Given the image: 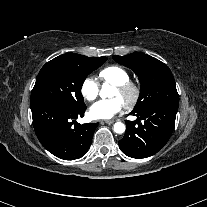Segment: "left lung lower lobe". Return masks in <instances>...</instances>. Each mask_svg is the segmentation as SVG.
Masks as SVG:
<instances>
[{
  "mask_svg": "<svg viewBox=\"0 0 207 207\" xmlns=\"http://www.w3.org/2000/svg\"><path fill=\"white\" fill-rule=\"evenodd\" d=\"M178 104H157L143 112L133 113L138 118L126 122V132L119 141L120 149L132 158H146L161 150L168 142L175 124ZM140 119L144 123H140Z\"/></svg>",
  "mask_w": 207,
  "mask_h": 207,
  "instance_id": "1",
  "label": "left lung lower lobe"
}]
</instances>
